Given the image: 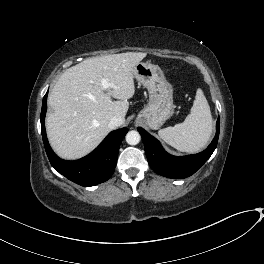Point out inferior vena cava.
<instances>
[{
    "instance_id": "inferior-vena-cava-1",
    "label": "inferior vena cava",
    "mask_w": 264,
    "mask_h": 264,
    "mask_svg": "<svg viewBox=\"0 0 264 264\" xmlns=\"http://www.w3.org/2000/svg\"><path fill=\"white\" fill-rule=\"evenodd\" d=\"M123 123V120L119 117H112L108 123V126L110 129H114V128H117L119 126H121Z\"/></svg>"
}]
</instances>
